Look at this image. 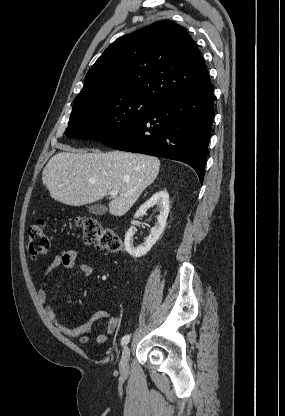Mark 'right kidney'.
<instances>
[{
    "instance_id": "1",
    "label": "right kidney",
    "mask_w": 285,
    "mask_h": 416,
    "mask_svg": "<svg viewBox=\"0 0 285 416\" xmlns=\"http://www.w3.org/2000/svg\"><path fill=\"white\" fill-rule=\"evenodd\" d=\"M155 204H157L160 212L157 218L158 222L154 228H151L150 236L146 238L144 244H141V246H138V248H134L133 228H129L128 232H126L124 240L125 250L128 252V254H130V256H133V258H141V256H145V254L151 250L152 246H154L155 242L159 240L166 226V220L169 214V194L168 192H164V190H161V192H156V194H154L150 200H147V202H145V204H143V206L137 210L134 218H140V216H144L148 208L155 206Z\"/></svg>"
}]
</instances>
